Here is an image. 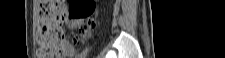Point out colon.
Instances as JSON below:
<instances>
[{
	"label": "colon",
	"instance_id": "5ec220e1",
	"mask_svg": "<svg viewBox=\"0 0 225 58\" xmlns=\"http://www.w3.org/2000/svg\"><path fill=\"white\" fill-rule=\"evenodd\" d=\"M36 3L38 58H65L62 29L64 21L67 18L81 20L89 17L95 11V2L92 0H38ZM95 26L96 21L89 19L81 29L82 35H86Z\"/></svg>",
	"mask_w": 225,
	"mask_h": 58
}]
</instances>
